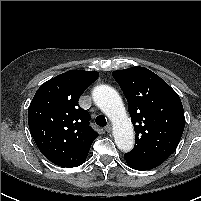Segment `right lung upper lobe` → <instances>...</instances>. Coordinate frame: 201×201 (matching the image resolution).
Segmentation results:
<instances>
[{
	"instance_id": "cb5924a9",
	"label": "right lung upper lobe",
	"mask_w": 201,
	"mask_h": 201,
	"mask_svg": "<svg viewBox=\"0 0 201 201\" xmlns=\"http://www.w3.org/2000/svg\"><path fill=\"white\" fill-rule=\"evenodd\" d=\"M98 76L97 71H67L43 83L30 103V132L41 153L58 166L81 165L98 137L89 114L78 105Z\"/></svg>"
}]
</instances>
